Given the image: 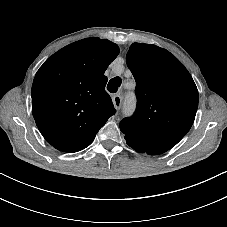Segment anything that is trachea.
Masks as SVG:
<instances>
[{
	"instance_id": "3493384b",
	"label": "trachea",
	"mask_w": 227,
	"mask_h": 227,
	"mask_svg": "<svg viewBox=\"0 0 227 227\" xmlns=\"http://www.w3.org/2000/svg\"><path fill=\"white\" fill-rule=\"evenodd\" d=\"M121 83H122V80L120 77H114L109 81L107 85V90L111 93H116Z\"/></svg>"
}]
</instances>
